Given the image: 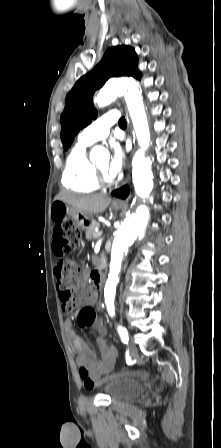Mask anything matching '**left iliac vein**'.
Here are the masks:
<instances>
[{"mask_svg":"<svg viewBox=\"0 0 221 448\" xmlns=\"http://www.w3.org/2000/svg\"><path fill=\"white\" fill-rule=\"evenodd\" d=\"M128 346H129V349H130V353H131L132 355H134V354L137 353V347H136V345H135L133 339L130 340Z\"/></svg>","mask_w":221,"mask_h":448,"instance_id":"4c4485c4","label":"left iliac vein"}]
</instances>
